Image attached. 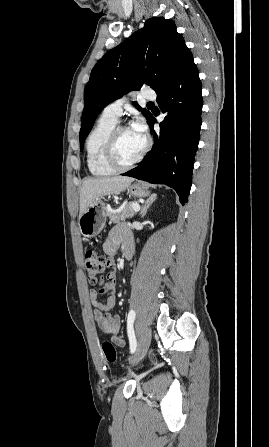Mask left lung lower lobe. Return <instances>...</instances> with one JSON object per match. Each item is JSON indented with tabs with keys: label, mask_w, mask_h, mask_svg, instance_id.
Segmentation results:
<instances>
[{
	"label": "left lung lower lobe",
	"mask_w": 269,
	"mask_h": 447,
	"mask_svg": "<svg viewBox=\"0 0 269 447\" xmlns=\"http://www.w3.org/2000/svg\"><path fill=\"white\" fill-rule=\"evenodd\" d=\"M157 102L167 113L156 134L151 114L148 124L154 136L152 150L142 164L122 174L150 183L166 184L177 192L180 202L188 201L194 158L201 129L202 88L192 53L186 49Z\"/></svg>",
	"instance_id": "0a47b994"
}]
</instances>
